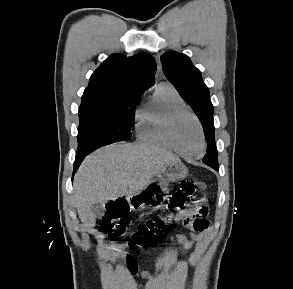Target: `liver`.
Here are the masks:
<instances>
[{"label": "liver", "mask_w": 293, "mask_h": 289, "mask_svg": "<svg viewBox=\"0 0 293 289\" xmlns=\"http://www.w3.org/2000/svg\"><path fill=\"white\" fill-rule=\"evenodd\" d=\"M175 154L150 144H112L91 153L74 178V201L83 224L93 225L94 203L139 193Z\"/></svg>", "instance_id": "1"}]
</instances>
